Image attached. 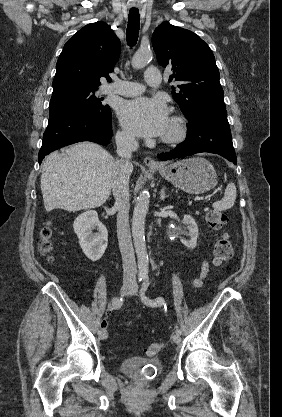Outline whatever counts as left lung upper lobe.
Segmentation results:
<instances>
[{"mask_svg": "<svg viewBox=\"0 0 282 417\" xmlns=\"http://www.w3.org/2000/svg\"><path fill=\"white\" fill-rule=\"evenodd\" d=\"M152 45L159 64L173 71L172 96L187 119L192 109L206 103H224L215 57L195 33L163 22L153 33Z\"/></svg>", "mask_w": 282, "mask_h": 417, "instance_id": "left-lung-upper-lobe-1", "label": "left lung upper lobe"}]
</instances>
